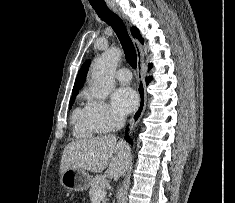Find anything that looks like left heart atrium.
Here are the masks:
<instances>
[{
    "mask_svg": "<svg viewBox=\"0 0 235 203\" xmlns=\"http://www.w3.org/2000/svg\"><path fill=\"white\" fill-rule=\"evenodd\" d=\"M111 99L115 111L121 115L131 113L138 104L137 94L130 87H120L116 89Z\"/></svg>",
    "mask_w": 235,
    "mask_h": 203,
    "instance_id": "obj_1",
    "label": "left heart atrium"
}]
</instances>
